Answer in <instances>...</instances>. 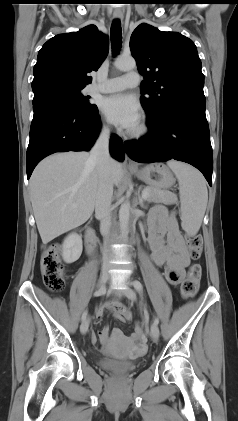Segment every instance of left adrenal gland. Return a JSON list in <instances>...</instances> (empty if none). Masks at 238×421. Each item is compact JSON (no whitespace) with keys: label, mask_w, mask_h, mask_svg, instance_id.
<instances>
[{"label":"left adrenal gland","mask_w":238,"mask_h":421,"mask_svg":"<svg viewBox=\"0 0 238 421\" xmlns=\"http://www.w3.org/2000/svg\"><path fill=\"white\" fill-rule=\"evenodd\" d=\"M139 204L141 206V208H147L146 206H144V204L142 203L141 197L139 196Z\"/></svg>","instance_id":"1"}]
</instances>
